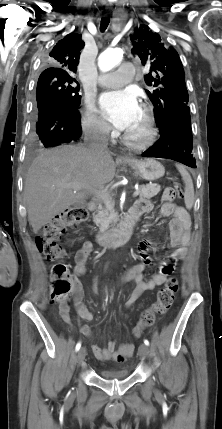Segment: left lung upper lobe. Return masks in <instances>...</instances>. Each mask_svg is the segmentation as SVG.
<instances>
[{"label":"left lung upper lobe","instance_id":"1","mask_svg":"<svg viewBox=\"0 0 222 429\" xmlns=\"http://www.w3.org/2000/svg\"><path fill=\"white\" fill-rule=\"evenodd\" d=\"M131 41V52L150 68L145 75L146 83L156 87L146 92L155 108L157 126L179 113H189L185 74L178 53L165 46L159 34L147 26L136 28Z\"/></svg>","mask_w":222,"mask_h":429}]
</instances>
